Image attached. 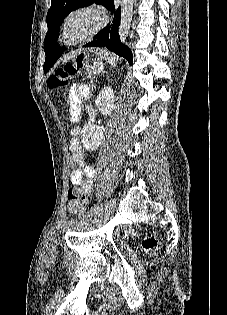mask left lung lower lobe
I'll use <instances>...</instances> for the list:
<instances>
[{"label": "left lung lower lobe", "mask_w": 227, "mask_h": 315, "mask_svg": "<svg viewBox=\"0 0 227 315\" xmlns=\"http://www.w3.org/2000/svg\"><path fill=\"white\" fill-rule=\"evenodd\" d=\"M106 8L111 10V13L114 14L112 24L100 30L96 35L97 39L84 45V47H106L117 55L124 57L129 64L132 65V52L127 46L121 43L118 34L121 10L120 8L115 9L114 0H109ZM44 51L46 54L44 71L47 72L62 55L64 49L60 48L57 42H50L49 45L44 47Z\"/></svg>", "instance_id": "1"}]
</instances>
